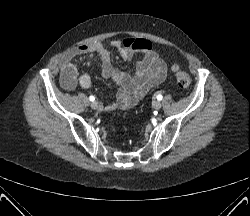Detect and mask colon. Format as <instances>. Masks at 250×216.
<instances>
[{
	"label": "colon",
	"mask_w": 250,
	"mask_h": 216,
	"mask_svg": "<svg viewBox=\"0 0 250 216\" xmlns=\"http://www.w3.org/2000/svg\"><path fill=\"white\" fill-rule=\"evenodd\" d=\"M172 71L175 75L178 85L183 89H187L191 84V78L189 74L181 70L177 65H173Z\"/></svg>",
	"instance_id": "obj_1"
}]
</instances>
